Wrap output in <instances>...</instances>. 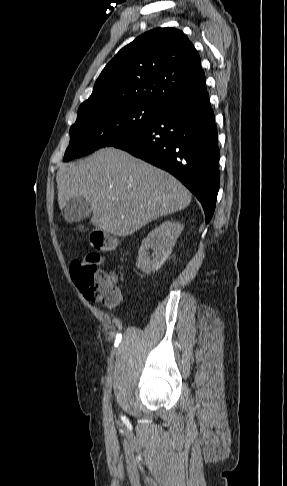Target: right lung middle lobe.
Wrapping results in <instances>:
<instances>
[{
  "label": "right lung middle lobe",
  "instance_id": "1",
  "mask_svg": "<svg viewBox=\"0 0 287 486\" xmlns=\"http://www.w3.org/2000/svg\"><path fill=\"white\" fill-rule=\"evenodd\" d=\"M163 111L164 106L143 100L107 102L78 111L64 161L134 138Z\"/></svg>",
  "mask_w": 287,
  "mask_h": 486
}]
</instances>
